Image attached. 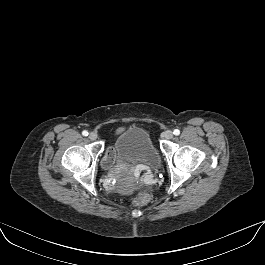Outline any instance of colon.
I'll return each instance as SVG.
<instances>
[{
	"instance_id": "5ec220e1",
	"label": "colon",
	"mask_w": 265,
	"mask_h": 265,
	"mask_svg": "<svg viewBox=\"0 0 265 265\" xmlns=\"http://www.w3.org/2000/svg\"><path fill=\"white\" fill-rule=\"evenodd\" d=\"M148 196L145 193H140L136 195L133 199V204L135 206H143L147 203Z\"/></svg>"
}]
</instances>
